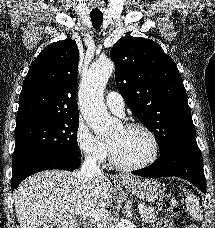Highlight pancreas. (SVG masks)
Returning a JSON list of instances; mask_svg holds the SVG:
<instances>
[{
    "mask_svg": "<svg viewBox=\"0 0 215 228\" xmlns=\"http://www.w3.org/2000/svg\"><path fill=\"white\" fill-rule=\"evenodd\" d=\"M139 214L144 224H152V226H154L155 214L152 212V210H142V212H139Z\"/></svg>",
    "mask_w": 215,
    "mask_h": 228,
    "instance_id": "1",
    "label": "pancreas"
}]
</instances>
